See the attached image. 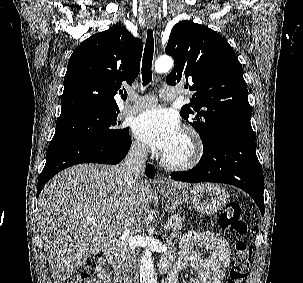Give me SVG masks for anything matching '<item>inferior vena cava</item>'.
I'll return each instance as SVG.
<instances>
[{
    "instance_id": "inferior-vena-cava-1",
    "label": "inferior vena cava",
    "mask_w": 303,
    "mask_h": 283,
    "mask_svg": "<svg viewBox=\"0 0 303 283\" xmlns=\"http://www.w3.org/2000/svg\"><path fill=\"white\" fill-rule=\"evenodd\" d=\"M147 153V147L144 145H135L129 150L127 156L121 164V169L126 173L125 181L128 185L131 186L137 177L144 175ZM131 234L132 232L129 225H124V230L121 234L120 240L121 244L126 248V282L139 283L135 249L128 246V239Z\"/></svg>"
}]
</instances>
